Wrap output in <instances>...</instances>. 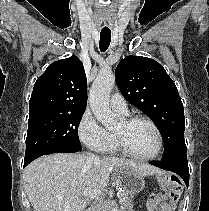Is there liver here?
<instances>
[{
	"label": "liver",
	"mask_w": 209,
	"mask_h": 211,
	"mask_svg": "<svg viewBox=\"0 0 209 211\" xmlns=\"http://www.w3.org/2000/svg\"><path fill=\"white\" fill-rule=\"evenodd\" d=\"M122 169L141 177L161 173L153 166L125 159L91 160L85 154L57 153L42 156L25 168L24 187L34 211H85L84 190L105 188L110 173L118 177Z\"/></svg>",
	"instance_id": "liver-1"
}]
</instances>
